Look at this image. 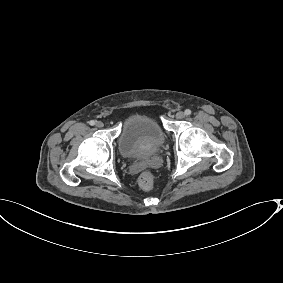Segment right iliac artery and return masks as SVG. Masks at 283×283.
<instances>
[{"instance_id":"obj_1","label":"right iliac artery","mask_w":283,"mask_h":283,"mask_svg":"<svg viewBox=\"0 0 283 283\" xmlns=\"http://www.w3.org/2000/svg\"><path fill=\"white\" fill-rule=\"evenodd\" d=\"M89 124H90L91 126H93V125H95V121H94V120H91V121L89 122Z\"/></svg>"}]
</instances>
